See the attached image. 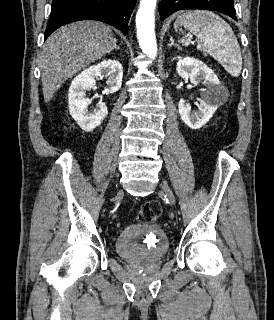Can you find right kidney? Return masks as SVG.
<instances>
[{
    "mask_svg": "<svg viewBox=\"0 0 274 320\" xmlns=\"http://www.w3.org/2000/svg\"><path fill=\"white\" fill-rule=\"evenodd\" d=\"M108 78L105 92L114 94L122 86L123 68L117 60H102L97 66H90L78 74L72 80L68 92L69 112L84 132H93L97 126L108 116V108L105 102H98L94 110H88L92 100L86 98V90H90L96 84L97 78Z\"/></svg>",
    "mask_w": 274,
    "mask_h": 320,
    "instance_id": "ca27d5eb",
    "label": "right kidney"
}]
</instances>
